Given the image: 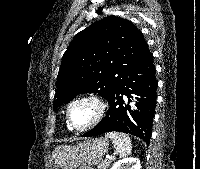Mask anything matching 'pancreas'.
Listing matches in <instances>:
<instances>
[{"label": "pancreas", "instance_id": "cf45deb5", "mask_svg": "<svg viewBox=\"0 0 200 169\" xmlns=\"http://www.w3.org/2000/svg\"><path fill=\"white\" fill-rule=\"evenodd\" d=\"M112 160H104L98 165V169H107L111 164Z\"/></svg>", "mask_w": 200, "mask_h": 169}]
</instances>
